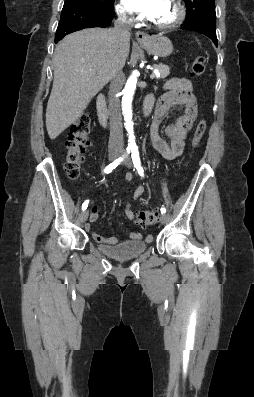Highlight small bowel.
I'll return each instance as SVG.
<instances>
[{
	"mask_svg": "<svg viewBox=\"0 0 254 397\" xmlns=\"http://www.w3.org/2000/svg\"><path fill=\"white\" fill-rule=\"evenodd\" d=\"M164 89L166 92L157 101L151 123L150 145L158 151L164 159L170 161L183 153L185 139L197 117L198 110L196 97L193 93V86L188 79L172 78L165 83ZM174 105H184L185 110L176 123L170 124L165 128V134L170 139V143H168L159 135V127L168 110ZM125 179L127 182H130L133 179V175L127 173ZM143 192L144 186L139 185L132 197L128 198L125 207V215L128 219L134 218V213L131 209V200H138ZM100 218L101 216L97 206H92L89 217L90 223L97 222ZM90 223L85 226V229L96 242L102 244H116L118 242L115 237L102 236L93 231ZM129 236L131 240H140L142 238L139 232H132Z\"/></svg>",
	"mask_w": 254,
	"mask_h": 397,
	"instance_id": "obj_1",
	"label": "small bowel"
}]
</instances>
